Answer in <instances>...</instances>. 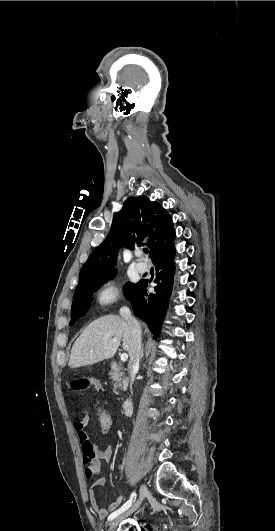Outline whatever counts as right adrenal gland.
I'll use <instances>...</instances> for the list:
<instances>
[{
  "instance_id": "obj_1",
  "label": "right adrenal gland",
  "mask_w": 275,
  "mask_h": 531,
  "mask_svg": "<svg viewBox=\"0 0 275 531\" xmlns=\"http://www.w3.org/2000/svg\"><path fill=\"white\" fill-rule=\"evenodd\" d=\"M143 357H144V349L143 347H141L140 359H143Z\"/></svg>"
}]
</instances>
